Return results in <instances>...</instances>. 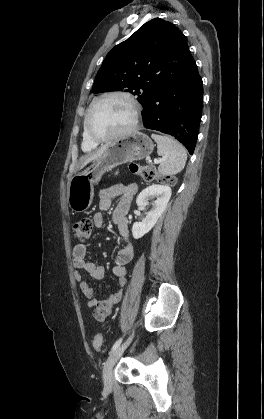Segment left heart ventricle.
I'll return each mask as SVG.
<instances>
[{
  "mask_svg": "<svg viewBox=\"0 0 264 419\" xmlns=\"http://www.w3.org/2000/svg\"><path fill=\"white\" fill-rule=\"evenodd\" d=\"M133 108L123 97H109L100 101L90 117V128L98 137L116 134L130 126Z\"/></svg>",
  "mask_w": 264,
  "mask_h": 419,
  "instance_id": "obj_1",
  "label": "left heart ventricle"
}]
</instances>
